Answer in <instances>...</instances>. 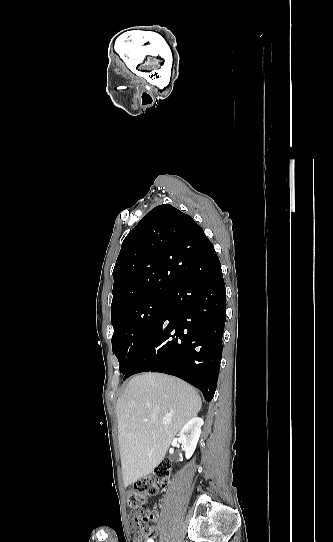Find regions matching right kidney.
<instances>
[{
	"instance_id": "right-kidney-1",
	"label": "right kidney",
	"mask_w": 333,
	"mask_h": 542,
	"mask_svg": "<svg viewBox=\"0 0 333 542\" xmlns=\"http://www.w3.org/2000/svg\"><path fill=\"white\" fill-rule=\"evenodd\" d=\"M203 424L202 418H192V420H189V422L183 426L181 432L178 434V442L182 444L187 460L193 456L196 450Z\"/></svg>"
}]
</instances>
